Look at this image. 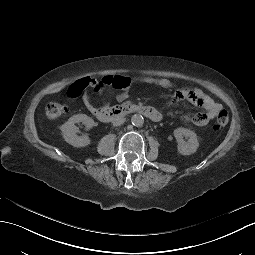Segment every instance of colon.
<instances>
[{
    "mask_svg": "<svg viewBox=\"0 0 255 255\" xmlns=\"http://www.w3.org/2000/svg\"><path fill=\"white\" fill-rule=\"evenodd\" d=\"M128 83V78L123 76H106L101 80L87 77L72 84L69 87V90L75 94H79L85 90L97 92L100 90H105L108 87L121 89L127 86ZM65 112L66 106L61 103L52 102L49 103L46 107V115L50 119H57L61 117ZM228 121L229 115L227 111L221 110L217 115L214 128L216 130L222 129L228 124Z\"/></svg>",
    "mask_w": 255,
    "mask_h": 255,
    "instance_id": "1",
    "label": "colon"
}]
</instances>
